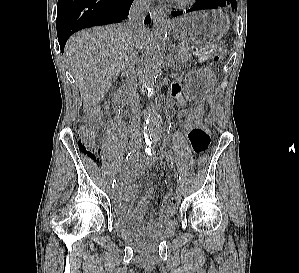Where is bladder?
<instances>
[{
	"mask_svg": "<svg viewBox=\"0 0 299 273\" xmlns=\"http://www.w3.org/2000/svg\"><path fill=\"white\" fill-rule=\"evenodd\" d=\"M113 220L116 226L125 229L136 228L140 223L139 220L134 216L123 214L117 208H114L113 210ZM173 223H174V217L171 215L165 218H160L155 223V226L157 228L168 227Z\"/></svg>",
	"mask_w": 299,
	"mask_h": 273,
	"instance_id": "1",
	"label": "bladder"
}]
</instances>
